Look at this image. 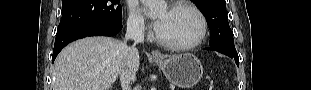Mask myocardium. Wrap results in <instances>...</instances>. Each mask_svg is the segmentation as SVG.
Segmentation results:
<instances>
[{"mask_svg": "<svg viewBox=\"0 0 311 90\" xmlns=\"http://www.w3.org/2000/svg\"><path fill=\"white\" fill-rule=\"evenodd\" d=\"M182 8L193 12L197 16L200 22V32L195 40L189 43L179 44V43H171V42L164 40L163 38L160 37L157 31L156 40L158 41L160 45H162L165 48L176 50V51L190 50V49H193L199 46L206 37L207 29H208L207 20L205 16L203 15V13L198 8H196L194 5L187 3V2H177V3L172 4L169 7L170 10H176V9H182Z\"/></svg>", "mask_w": 311, "mask_h": 90, "instance_id": "myocardium-1", "label": "myocardium"}]
</instances>
